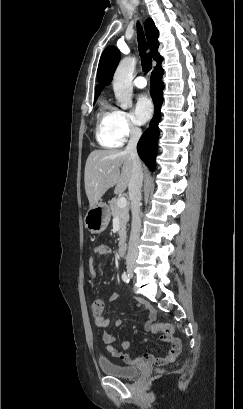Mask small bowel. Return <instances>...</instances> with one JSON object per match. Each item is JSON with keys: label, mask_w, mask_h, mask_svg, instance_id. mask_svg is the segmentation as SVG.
Here are the masks:
<instances>
[{"label": "small bowel", "mask_w": 243, "mask_h": 409, "mask_svg": "<svg viewBox=\"0 0 243 409\" xmlns=\"http://www.w3.org/2000/svg\"><path fill=\"white\" fill-rule=\"evenodd\" d=\"M93 254L100 257H108L113 254V249L104 244H98L95 246ZM89 267L90 273L93 278H95V271H94V256L89 257ZM116 297L111 296L109 301H113ZM141 306L144 307L147 320L144 324V329L146 331H152L153 323L156 318V312L152 306L147 303L140 302ZM95 324L101 329L102 340L105 344L106 351L114 358H118L124 361L126 364H158V365H167L170 363L175 362V360L181 355V341L179 338L173 336L172 333L164 334L160 341L163 345L167 347V353L164 356L154 357L151 355H142L137 359L131 358L128 354L123 353L122 351L118 350L113 346V342L115 341L114 335L109 330V326L111 321L104 317L102 311L99 314L94 315ZM115 325H120V321H115ZM130 346V341L122 342V348L127 349Z\"/></svg>", "instance_id": "1"}]
</instances>
